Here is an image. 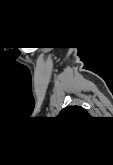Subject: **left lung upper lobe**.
I'll list each match as a JSON object with an SVG mask.
<instances>
[{
  "mask_svg": "<svg viewBox=\"0 0 113 165\" xmlns=\"http://www.w3.org/2000/svg\"><path fill=\"white\" fill-rule=\"evenodd\" d=\"M60 115L69 117L88 116V112L82 107L67 106L60 112Z\"/></svg>",
  "mask_w": 113,
  "mask_h": 165,
  "instance_id": "obj_1",
  "label": "left lung upper lobe"
}]
</instances>
